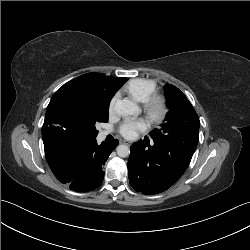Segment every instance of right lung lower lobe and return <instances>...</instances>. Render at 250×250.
Returning <instances> with one entry per match:
<instances>
[{
    "label": "right lung lower lobe",
    "instance_id": "1",
    "mask_svg": "<svg viewBox=\"0 0 250 250\" xmlns=\"http://www.w3.org/2000/svg\"><path fill=\"white\" fill-rule=\"evenodd\" d=\"M118 144L117 139L100 145L96 138L71 141L47 162L61 183L71 190L88 192L101 185L103 165Z\"/></svg>",
    "mask_w": 250,
    "mask_h": 250
}]
</instances>
